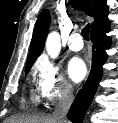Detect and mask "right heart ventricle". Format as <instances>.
Returning a JSON list of instances; mask_svg holds the SVG:
<instances>
[{
	"label": "right heart ventricle",
	"mask_w": 118,
	"mask_h": 123,
	"mask_svg": "<svg viewBox=\"0 0 118 123\" xmlns=\"http://www.w3.org/2000/svg\"><path fill=\"white\" fill-rule=\"evenodd\" d=\"M33 100L35 101V102H37L38 100H39V96H37V95H33Z\"/></svg>",
	"instance_id": "right-heart-ventricle-1"
}]
</instances>
